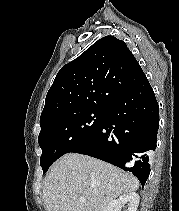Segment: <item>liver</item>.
<instances>
[{
    "label": "liver",
    "instance_id": "6515ba94",
    "mask_svg": "<svg viewBox=\"0 0 179 211\" xmlns=\"http://www.w3.org/2000/svg\"><path fill=\"white\" fill-rule=\"evenodd\" d=\"M138 188L132 174L87 155L68 153L50 167L43 200L47 211H104L117 197Z\"/></svg>",
    "mask_w": 179,
    "mask_h": 211
}]
</instances>
